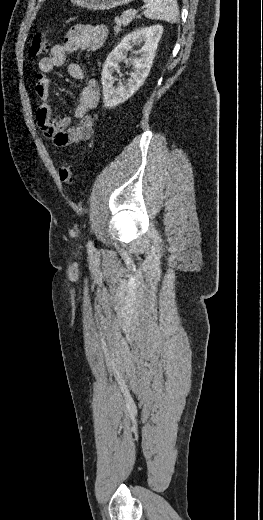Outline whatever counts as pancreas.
<instances>
[{"mask_svg": "<svg viewBox=\"0 0 263 520\" xmlns=\"http://www.w3.org/2000/svg\"><path fill=\"white\" fill-rule=\"evenodd\" d=\"M135 18H140V16H136L135 11L133 10H128L124 12L120 17H116V26L114 27L115 33H119L122 30V27H126Z\"/></svg>", "mask_w": 263, "mask_h": 520, "instance_id": "cf45deb5", "label": "pancreas"}]
</instances>
